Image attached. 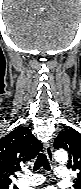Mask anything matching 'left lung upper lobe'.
<instances>
[{"mask_svg":"<svg viewBox=\"0 0 81 189\" xmlns=\"http://www.w3.org/2000/svg\"><path fill=\"white\" fill-rule=\"evenodd\" d=\"M55 149L63 148L69 153L68 168L79 170L74 179V189H81V134L73 128L60 132L54 141Z\"/></svg>","mask_w":81,"mask_h":189,"instance_id":"5c2ea615","label":"left lung upper lobe"}]
</instances>
